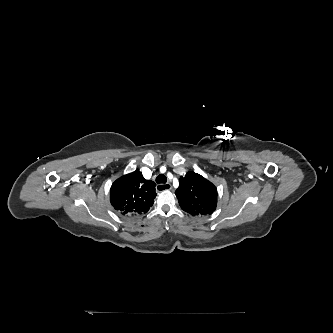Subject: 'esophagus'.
<instances>
[{
    "instance_id": "34e87169",
    "label": "esophagus",
    "mask_w": 333,
    "mask_h": 333,
    "mask_svg": "<svg viewBox=\"0 0 333 333\" xmlns=\"http://www.w3.org/2000/svg\"><path fill=\"white\" fill-rule=\"evenodd\" d=\"M172 189V186L171 184L169 183H166V184H158L156 186V190L161 192V191H164V190H171Z\"/></svg>"
}]
</instances>
